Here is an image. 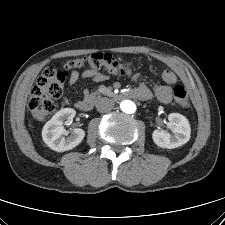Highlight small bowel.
I'll use <instances>...</instances> for the list:
<instances>
[{"label": "small bowel", "mask_w": 225, "mask_h": 225, "mask_svg": "<svg viewBox=\"0 0 225 225\" xmlns=\"http://www.w3.org/2000/svg\"><path fill=\"white\" fill-rule=\"evenodd\" d=\"M80 79L84 80H91L95 82H101L107 79V76L99 71L96 70H84L82 72L73 70L70 73L68 86L72 87L75 85ZM135 82H137V87L131 91L132 97L141 99V100H148L155 98L160 103H168L171 100L172 92L171 87L168 85H157L154 90H150L145 84L139 82V77L135 76L133 78ZM63 101L65 104H70V99L67 96L63 97Z\"/></svg>", "instance_id": "1"}]
</instances>
